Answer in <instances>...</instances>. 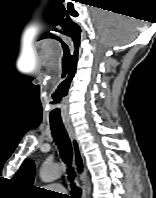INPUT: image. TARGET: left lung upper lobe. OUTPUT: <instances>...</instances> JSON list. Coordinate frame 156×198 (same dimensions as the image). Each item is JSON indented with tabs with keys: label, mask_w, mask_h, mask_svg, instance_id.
<instances>
[{
	"label": "left lung upper lobe",
	"mask_w": 156,
	"mask_h": 198,
	"mask_svg": "<svg viewBox=\"0 0 156 198\" xmlns=\"http://www.w3.org/2000/svg\"><path fill=\"white\" fill-rule=\"evenodd\" d=\"M35 166L31 159H26L13 179L23 185H31L34 180Z\"/></svg>",
	"instance_id": "left-lung-upper-lobe-1"
}]
</instances>
